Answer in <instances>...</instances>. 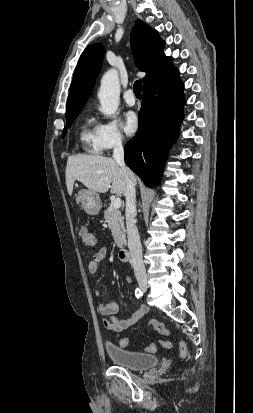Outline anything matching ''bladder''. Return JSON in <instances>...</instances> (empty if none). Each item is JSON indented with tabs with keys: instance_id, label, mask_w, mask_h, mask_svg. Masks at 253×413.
Returning a JSON list of instances; mask_svg holds the SVG:
<instances>
[{
	"instance_id": "obj_1",
	"label": "bladder",
	"mask_w": 253,
	"mask_h": 413,
	"mask_svg": "<svg viewBox=\"0 0 253 413\" xmlns=\"http://www.w3.org/2000/svg\"><path fill=\"white\" fill-rule=\"evenodd\" d=\"M105 350L115 365L131 370L149 369L159 363V358L156 355L130 351L112 343H107Z\"/></svg>"
}]
</instances>
